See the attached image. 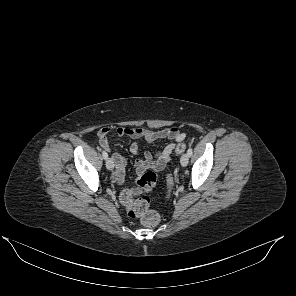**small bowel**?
<instances>
[{
	"mask_svg": "<svg viewBox=\"0 0 296 296\" xmlns=\"http://www.w3.org/2000/svg\"><path fill=\"white\" fill-rule=\"evenodd\" d=\"M112 131L113 129L110 127H103L97 133L99 144L107 150H110L108 136ZM115 132L119 136H126L136 140V142H134L130 147V151L135 155L139 154L140 151L139 143L137 142L139 140L145 141L149 144L157 140L166 139L173 141L167 144L155 155L150 151H145L142 158L135 161V168L138 175H141L147 170H153L155 172L162 171L170 161V157L175 149L176 143L183 141L186 136L185 133L180 131L177 127H168L160 130L119 127L115 130ZM112 160L114 161L116 167L114 173L112 174V182L114 184H121L124 181L127 161L121 154L118 153L112 154ZM129 192L132 196H135L140 193V189L131 188Z\"/></svg>",
	"mask_w": 296,
	"mask_h": 296,
	"instance_id": "obj_1",
	"label": "small bowel"
}]
</instances>
